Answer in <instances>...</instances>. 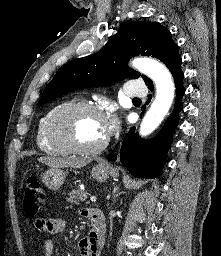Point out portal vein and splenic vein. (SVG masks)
<instances>
[{
    "mask_svg": "<svg viewBox=\"0 0 221 256\" xmlns=\"http://www.w3.org/2000/svg\"><path fill=\"white\" fill-rule=\"evenodd\" d=\"M90 201H91V202H96V201H97V199H96V197H95V196H90Z\"/></svg>",
    "mask_w": 221,
    "mask_h": 256,
    "instance_id": "portal-vein-and-splenic-vein-1",
    "label": "portal vein and splenic vein"
}]
</instances>
